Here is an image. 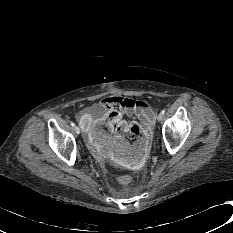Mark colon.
<instances>
[{
    "instance_id": "1",
    "label": "colon",
    "mask_w": 233,
    "mask_h": 233,
    "mask_svg": "<svg viewBox=\"0 0 233 233\" xmlns=\"http://www.w3.org/2000/svg\"><path fill=\"white\" fill-rule=\"evenodd\" d=\"M131 126H136V127H138L139 128V126L137 125V124H132ZM119 131L121 130V128L120 129H118ZM119 182L121 183V184H124V185H126V184H128V183H130L131 182V177L130 176H128V175H122V176H120L119 177Z\"/></svg>"
}]
</instances>
